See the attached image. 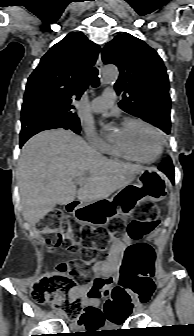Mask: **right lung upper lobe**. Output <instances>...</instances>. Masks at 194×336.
Segmentation results:
<instances>
[{
	"label": "right lung upper lobe",
	"mask_w": 194,
	"mask_h": 336,
	"mask_svg": "<svg viewBox=\"0 0 194 336\" xmlns=\"http://www.w3.org/2000/svg\"><path fill=\"white\" fill-rule=\"evenodd\" d=\"M99 51L100 47L80 32L70 33L55 44L28 79L21 121L44 114L76 116L72 99H79L88 87L86 72L95 64Z\"/></svg>",
	"instance_id": "1"
}]
</instances>
